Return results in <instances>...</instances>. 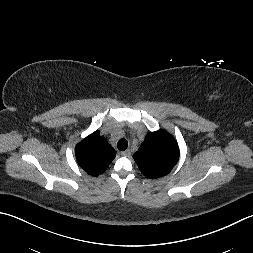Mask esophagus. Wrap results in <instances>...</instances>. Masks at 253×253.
Masks as SVG:
<instances>
[{"label":"esophagus","instance_id":"1","mask_svg":"<svg viewBox=\"0 0 253 253\" xmlns=\"http://www.w3.org/2000/svg\"><path fill=\"white\" fill-rule=\"evenodd\" d=\"M130 154H131L130 150L120 152V155L126 156V157L130 156Z\"/></svg>","mask_w":253,"mask_h":253}]
</instances>
